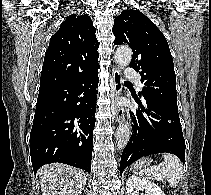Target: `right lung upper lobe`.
Listing matches in <instances>:
<instances>
[{"label": "right lung upper lobe", "instance_id": "obj_1", "mask_svg": "<svg viewBox=\"0 0 211 195\" xmlns=\"http://www.w3.org/2000/svg\"><path fill=\"white\" fill-rule=\"evenodd\" d=\"M95 32L87 14H72L61 24L45 53L40 88L89 74L100 67Z\"/></svg>", "mask_w": 211, "mask_h": 195}]
</instances>
